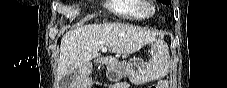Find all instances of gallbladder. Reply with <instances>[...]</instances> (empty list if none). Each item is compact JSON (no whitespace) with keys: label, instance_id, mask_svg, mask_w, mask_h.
Segmentation results:
<instances>
[{"label":"gallbladder","instance_id":"bac80fb5","mask_svg":"<svg viewBox=\"0 0 227 88\" xmlns=\"http://www.w3.org/2000/svg\"><path fill=\"white\" fill-rule=\"evenodd\" d=\"M76 71L73 73L66 74L59 82V87L60 88H68L71 83H73L76 75Z\"/></svg>","mask_w":227,"mask_h":88}]
</instances>
